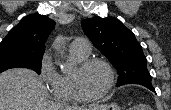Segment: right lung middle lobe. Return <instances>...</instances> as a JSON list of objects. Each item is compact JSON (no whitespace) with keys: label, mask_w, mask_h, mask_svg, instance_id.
I'll use <instances>...</instances> for the list:
<instances>
[{"label":"right lung middle lobe","mask_w":171,"mask_h":110,"mask_svg":"<svg viewBox=\"0 0 171 110\" xmlns=\"http://www.w3.org/2000/svg\"><path fill=\"white\" fill-rule=\"evenodd\" d=\"M43 53H33L14 45L0 46V73L10 68H29L41 73Z\"/></svg>","instance_id":"obj_1"}]
</instances>
